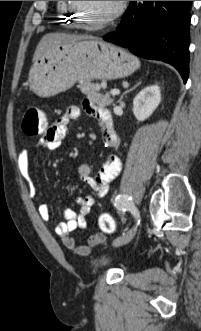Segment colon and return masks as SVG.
<instances>
[{
    "label": "colon",
    "instance_id": "obj_1",
    "mask_svg": "<svg viewBox=\"0 0 201 331\" xmlns=\"http://www.w3.org/2000/svg\"><path fill=\"white\" fill-rule=\"evenodd\" d=\"M48 128L45 113L37 106H30L23 118L22 130L30 137L44 135ZM102 233H96L86 240V245L93 246L102 244L105 241L104 233H113L115 231V222L111 215L102 213L98 219Z\"/></svg>",
    "mask_w": 201,
    "mask_h": 331
}]
</instances>
